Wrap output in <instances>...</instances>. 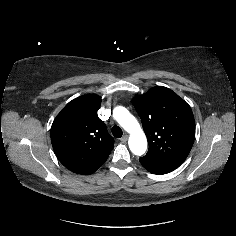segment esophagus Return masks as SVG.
I'll use <instances>...</instances> for the list:
<instances>
[{
	"label": "esophagus",
	"instance_id": "esophagus-1",
	"mask_svg": "<svg viewBox=\"0 0 236 236\" xmlns=\"http://www.w3.org/2000/svg\"><path fill=\"white\" fill-rule=\"evenodd\" d=\"M120 140H121L122 142H126V141L128 140V135H127V134L123 135V136L120 138Z\"/></svg>",
	"mask_w": 236,
	"mask_h": 236
}]
</instances>
